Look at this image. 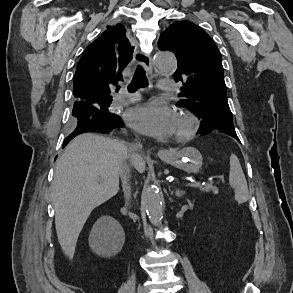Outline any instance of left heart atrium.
I'll use <instances>...</instances> for the list:
<instances>
[{
	"mask_svg": "<svg viewBox=\"0 0 293 293\" xmlns=\"http://www.w3.org/2000/svg\"><path fill=\"white\" fill-rule=\"evenodd\" d=\"M126 120L138 132L158 138L172 134L176 123L168 106L153 101L131 108Z\"/></svg>",
	"mask_w": 293,
	"mask_h": 293,
	"instance_id": "left-heart-atrium-1",
	"label": "left heart atrium"
}]
</instances>
